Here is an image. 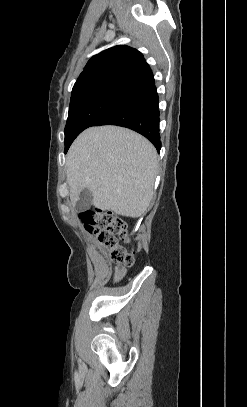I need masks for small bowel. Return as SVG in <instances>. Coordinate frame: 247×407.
I'll return each mask as SVG.
<instances>
[{"label": "small bowel", "mask_w": 247, "mask_h": 407, "mask_svg": "<svg viewBox=\"0 0 247 407\" xmlns=\"http://www.w3.org/2000/svg\"><path fill=\"white\" fill-rule=\"evenodd\" d=\"M126 270L123 267L114 268V277L116 279H121L125 275Z\"/></svg>", "instance_id": "small-bowel-1"}]
</instances>
